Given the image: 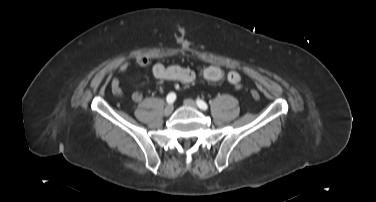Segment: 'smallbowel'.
Returning a JSON list of instances; mask_svg holds the SVG:
<instances>
[{"instance_id":"c3829d8e","label":"small bowel","mask_w":376,"mask_h":202,"mask_svg":"<svg viewBox=\"0 0 376 202\" xmlns=\"http://www.w3.org/2000/svg\"><path fill=\"white\" fill-rule=\"evenodd\" d=\"M135 65L138 67H147L151 65L149 58L144 56H137L134 60ZM130 67L129 62H124L119 67V73L124 74ZM152 75L159 80L177 81L183 84L193 83L197 78H202L211 82H219L227 77L228 81L233 85L236 90L242 88V79L239 73L230 71L226 76L225 71L219 65H207L199 70H193L188 67H182L177 64H163L155 63L151 66ZM111 92L117 97H123L124 92L121 87V81L118 77L111 80ZM143 95L139 91H134L131 94L133 102H140Z\"/></svg>"}]
</instances>
